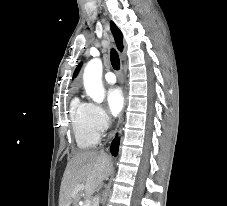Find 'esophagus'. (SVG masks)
Masks as SVG:
<instances>
[{"instance_id":"1","label":"esophagus","mask_w":227,"mask_h":206,"mask_svg":"<svg viewBox=\"0 0 227 206\" xmlns=\"http://www.w3.org/2000/svg\"><path fill=\"white\" fill-rule=\"evenodd\" d=\"M124 97H125V105L127 104V95H126V92L124 93ZM123 120V117L121 116V119H120V122H122Z\"/></svg>"}]
</instances>
